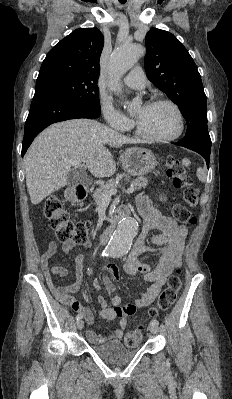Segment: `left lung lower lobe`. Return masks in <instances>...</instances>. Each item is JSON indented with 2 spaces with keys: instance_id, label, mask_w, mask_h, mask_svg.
Returning a JSON list of instances; mask_svg holds the SVG:
<instances>
[{
  "instance_id": "0a47b994",
  "label": "left lung lower lobe",
  "mask_w": 232,
  "mask_h": 399,
  "mask_svg": "<svg viewBox=\"0 0 232 399\" xmlns=\"http://www.w3.org/2000/svg\"><path fill=\"white\" fill-rule=\"evenodd\" d=\"M174 144H175V145H178V146H181L178 142H176V143H174ZM191 150H193V149H191ZM193 151H195V152L199 153L200 155H202V156L205 158V160H206L207 166L209 165V162H210V152H207V151H198V150H193Z\"/></svg>"
}]
</instances>
